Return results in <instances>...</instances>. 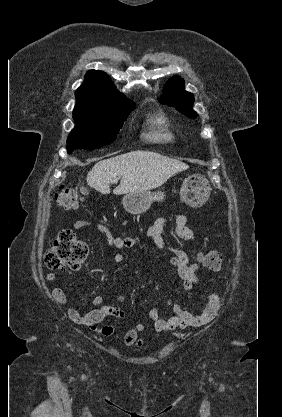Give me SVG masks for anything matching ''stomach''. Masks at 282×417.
I'll return each instance as SVG.
<instances>
[{"label": "stomach", "mask_w": 282, "mask_h": 417, "mask_svg": "<svg viewBox=\"0 0 282 417\" xmlns=\"http://www.w3.org/2000/svg\"><path fill=\"white\" fill-rule=\"evenodd\" d=\"M181 198L190 206H202L211 194L209 180L203 174H191L185 178L181 188ZM166 194L162 190H139L127 192L122 198V204L127 213L141 215L146 213L154 200H164Z\"/></svg>", "instance_id": "1"}]
</instances>
